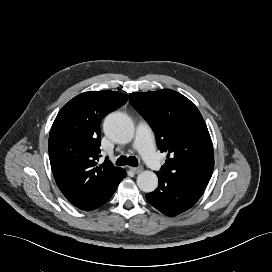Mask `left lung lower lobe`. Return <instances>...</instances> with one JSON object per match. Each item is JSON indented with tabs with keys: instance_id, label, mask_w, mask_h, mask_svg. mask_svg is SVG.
I'll return each mask as SVG.
<instances>
[{
	"instance_id": "obj_1",
	"label": "left lung lower lobe",
	"mask_w": 272,
	"mask_h": 272,
	"mask_svg": "<svg viewBox=\"0 0 272 272\" xmlns=\"http://www.w3.org/2000/svg\"><path fill=\"white\" fill-rule=\"evenodd\" d=\"M158 188L146 195L148 202L167 216H176L191 208L201 197L207 184L196 180L157 173Z\"/></svg>"
}]
</instances>
